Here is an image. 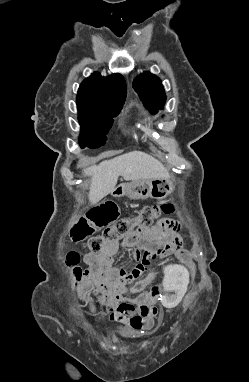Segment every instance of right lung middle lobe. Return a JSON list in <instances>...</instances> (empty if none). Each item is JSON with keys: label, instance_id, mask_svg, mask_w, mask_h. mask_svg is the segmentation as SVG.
I'll use <instances>...</instances> for the list:
<instances>
[{"label": "right lung middle lobe", "instance_id": "obj_1", "mask_svg": "<svg viewBox=\"0 0 249 382\" xmlns=\"http://www.w3.org/2000/svg\"><path fill=\"white\" fill-rule=\"evenodd\" d=\"M81 134L79 142L82 148H97L106 141L105 134L111 128L113 118L120 110H109L103 107L78 108Z\"/></svg>", "mask_w": 249, "mask_h": 382}]
</instances>
